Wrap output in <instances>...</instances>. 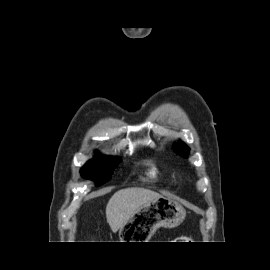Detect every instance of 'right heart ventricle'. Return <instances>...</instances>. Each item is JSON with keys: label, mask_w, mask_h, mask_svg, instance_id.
Returning <instances> with one entry per match:
<instances>
[{"label": "right heart ventricle", "mask_w": 270, "mask_h": 270, "mask_svg": "<svg viewBox=\"0 0 270 270\" xmlns=\"http://www.w3.org/2000/svg\"><path fill=\"white\" fill-rule=\"evenodd\" d=\"M161 177V172L155 166H151L147 172V178L152 181H158Z\"/></svg>", "instance_id": "obj_1"}]
</instances>
